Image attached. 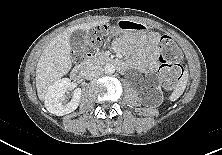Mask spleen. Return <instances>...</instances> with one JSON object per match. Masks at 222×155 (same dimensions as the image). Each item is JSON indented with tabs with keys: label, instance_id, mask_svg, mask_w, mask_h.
Here are the masks:
<instances>
[{
	"label": "spleen",
	"instance_id": "1",
	"mask_svg": "<svg viewBox=\"0 0 222 155\" xmlns=\"http://www.w3.org/2000/svg\"><path fill=\"white\" fill-rule=\"evenodd\" d=\"M187 82H188V72L186 71L180 78L178 84L176 85L174 91L172 92L170 96L171 102L176 101L183 94L186 88Z\"/></svg>",
	"mask_w": 222,
	"mask_h": 155
}]
</instances>
